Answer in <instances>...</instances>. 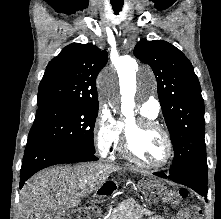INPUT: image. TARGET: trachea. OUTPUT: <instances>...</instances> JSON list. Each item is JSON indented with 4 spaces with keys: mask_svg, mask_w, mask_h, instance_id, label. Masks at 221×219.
<instances>
[{
    "mask_svg": "<svg viewBox=\"0 0 221 219\" xmlns=\"http://www.w3.org/2000/svg\"><path fill=\"white\" fill-rule=\"evenodd\" d=\"M111 4H112V8H113L115 14L117 15L121 11L124 3L119 2V3H111Z\"/></svg>",
    "mask_w": 221,
    "mask_h": 219,
    "instance_id": "1",
    "label": "trachea"
}]
</instances>
